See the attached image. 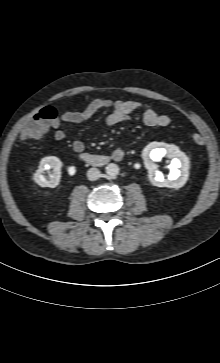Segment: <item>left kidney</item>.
Here are the masks:
<instances>
[{
  "mask_svg": "<svg viewBox=\"0 0 220 363\" xmlns=\"http://www.w3.org/2000/svg\"><path fill=\"white\" fill-rule=\"evenodd\" d=\"M168 156L172 159L170 163V173L165 179L163 174L157 170L154 163L160 161L162 157ZM144 165L148 170V178L152 185L157 187L181 188L185 185L189 177L190 161L184 152L173 144L152 142L142 151Z\"/></svg>",
  "mask_w": 220,
  "mask_h": 363,
  "instance_id": "1",
  "label": "left kidney"
}]
</instances>
